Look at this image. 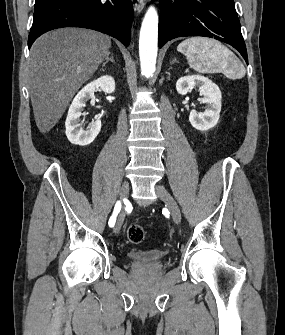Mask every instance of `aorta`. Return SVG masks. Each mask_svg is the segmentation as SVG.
I'll return each instance as SVG.
<instances>
[{
  "label": "aorta",
  "instance_id": "1",
  "mask_svg": "<svg viewBox=\"0 0 285 335\" xmlns=\"http://www.w3.org/2000/svg\"><path fill=\"white\" fill-rule=\"evenodd\" d=\"M158 48V16L155 8H149L140 30L139 54L141 74L152 78L156 70Z\"/></svg>",
  "mask_w": 285,
  "mask_h": 335
}]
</instances>
